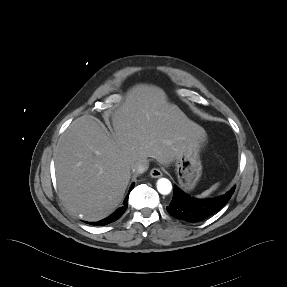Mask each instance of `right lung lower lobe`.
Returning <instances> with one entry per match:
<instances>
[{"label":"right lung lower lobe","instance_id":"obj_1","mask_svg":"<svg viewBox=\"0 0 287 287\" xmlns=\"http://www.w3.org/2000/svg\"><path fill=\"white\" fill-rule=\"evenodd\" d=\"M133 187H134V183L131 185V187L129 189V193L133 189ZM128 196H129V194L126 196V198L123 202V205L120 208H118L113 214H111L110 216H108L107 218H105L101 221L94 222L93 225L104 226V225L110 224V223L118 220L124 214V212L126 211V209L128 207V204H127ZM89 224H92V223H89Z\"/></svg>","mask_w":287,"mask_h":287}]
</instances>
